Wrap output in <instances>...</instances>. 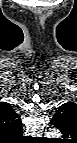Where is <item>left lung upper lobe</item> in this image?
Listing matches in <instances>:
<instances>
[{
    "label": "left lung upper lobe",
    "mask_w": 77,
    "mask_h": 143,
    "mask_svg": "<svg viewBox=\"0 0 77 143\" xmlns=\"http://www.w3.org/2000/svg\"><path fill=\"white\" fill-rule=\"evenodd\" d=\"M70 127L71 125L69 124H63L61 126H56V128L59 129L63 133V136L65 137H68V135L70 134Z\"/></svg>",
    "instance_id": "5c2ea615"
}]
</instances>
